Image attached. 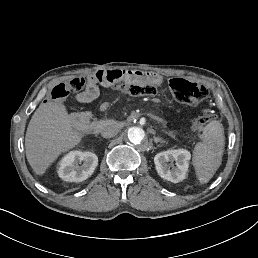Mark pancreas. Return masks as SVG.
Listing matches in <instances>:
<instances>
[{
	"label": "pancreas",
	"mask_w": 258,
	"mask_h": 258,
	"mask_svg": "<svg viewBox=\"0 0 258 258\" xmlns=\"http://www.w3.org/2000/svg\"><path fill=\"white\" fill-rule=\"evenodd\" d=\"M134 114H135L136 117L139 118V117L142 116L143 113H142L141 110L138 109V110L135 111ZM143 117H144L145 120L148 121V120L151 119L152 116H151L150 113L147 112V113L144 114ZM125 118H126L127 121L131 122V121L134 120L135 117H134L133 114L129 113V114L126 115ZM153 119H154V121L156 122V124L159 125V126H160V125H161V126H166V125H167V120H166V119H162L161 116L158 115V114L155 115Z\"/></svg>",
	"instance_id": "cf45deb5"
}]
</instances>
